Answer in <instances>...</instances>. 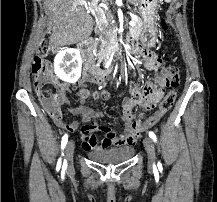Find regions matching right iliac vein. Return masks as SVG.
Masks as SVG:
<instances>
[{"label":"right iliac vein","mask_w":217,"mask_h":202,"mask_svg":"<svg viewBox=\"0 0 217 202\" xmlns=\"http://www.w3.org/2000/svg\"><path fill=\"white\" fill-rule=\"evenodd\" d=\"M75 145L72 141L68 142L65 148V158L67 162L68 169L73 167V153H74Z\"/></svg>","instance_id":"obj_1"}]
</instances>
